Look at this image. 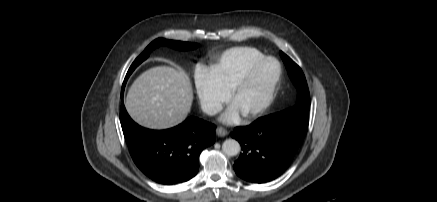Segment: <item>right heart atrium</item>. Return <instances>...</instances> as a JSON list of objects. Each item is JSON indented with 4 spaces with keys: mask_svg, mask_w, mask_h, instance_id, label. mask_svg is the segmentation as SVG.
<instances>
[{
    "mask_svg": "<svg viewBox=\"0 0 437 202\" xmlns=\"http://www.w3.org/2000/svg\"><path fill=\"white\" fill-rule=\"evenodd\" d=\"M194 85L201 108L208 115L217 114L229 100L230 91L221 84L213 71L205 66L196 68Z\"/></svg>",
    "mask_w": 437,
    "mask_h": 202,
    "instance_id": "right-heart-atrium-1",
    "label": "right heart atrium"
}]
</instances>
